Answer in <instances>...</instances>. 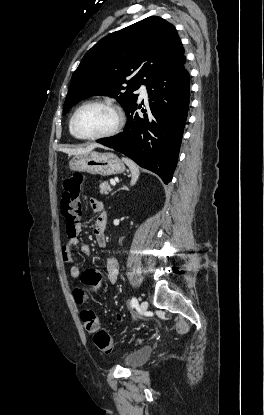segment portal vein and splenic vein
Returning a JSON list of instances; mask_svg holds the SVG:
<instances>
[{"label":"portal vein and splenic vein","instance_id":"obj_1","mask_svg":"<svg viewBox=\"0 0 264 415\" xmlns=\"http://www.w3.org/2000/svg\"><path fill=\"white\" fill-rule=\"evenodd\" d=\"M111 185H116V182L114 180L110 181Z\"/></svg>","mask_w":264,"mask_h":415}]
</instances>
